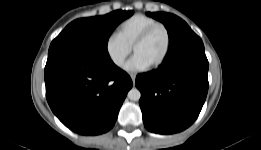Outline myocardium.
Here are the masks:
<instances>
[{
	"instance_id": "f54148a6",
	"label": "myocardium",
	"mask_w": 261,
	"mask_h": 150,
	"mask_svg": "<svg viewBox=\"0 0 261 150\" xmlns=\"http://www.w3.org/2000/svg\"><path fill=\"white\" fill-rule=\"evenodd\" d=\"M157 29H162L165 32L166 48H165V51H164L162 57L157 62H155L154 64H152L150 66V68H152V69H156V68L160 67L161 65H163V63L167 60V58L169 56L170 49H171V34H170L168 27L162 23H156L154 25H151L138 36V38L135 40V42L132 46V50L135 53L136 48L139 45H141L143 42H145L151 36V34Z\"/></svg>"
}]
</instances>
